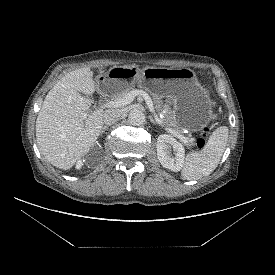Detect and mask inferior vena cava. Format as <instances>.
Wrapping results in <instances>:
<instances>
[{
	"label": "inferior vena cava",
	"mask_w": 275,
	"mask_h": 275,
	"mask_svg": "<svg viewBox=\"0 0 275 275\" xmlns=\"http://www.w3.org/2000/svg\"><path fill=\"white\" fill-rule=\"evenodd\" d=\"M121 115L122 113L120 110H117V109L106 110L103 116L105 125H112L116 123L120 119Z\"/></svg>",
	"instance_id": "602c4592"
}]
</instances>
